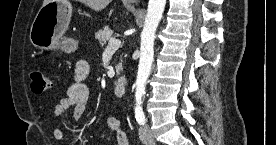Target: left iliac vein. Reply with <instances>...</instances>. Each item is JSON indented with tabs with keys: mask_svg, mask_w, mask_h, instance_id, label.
Listing matches in <instances>:
<instances>
[{
	"mask_svg": "<svg viewBox=\"0 0 276 145\" xmlns=\"http://www.w3.org/2000/svg\"><path fill=\"white\" fill-rule=\"evenodd\" d=\"M140 140L147 145L154 144V137L148 124H143L139 129Z\"/></svg>",
	"mask_w": 276,
	"mask_h": 145,
	"instance_id": "obj_1",
	"label": "left iliac vein"
}]
</instances>
